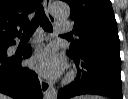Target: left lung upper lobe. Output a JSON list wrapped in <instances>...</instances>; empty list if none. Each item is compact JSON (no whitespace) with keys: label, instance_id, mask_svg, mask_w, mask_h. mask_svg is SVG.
I'll use <instances>...</instances> for the list:
<instances>
[{"label":"left lung upper lobe","instance_id":"obj_1","mask_svg":"<svg viewBox=\"0 0 128 99\" xmlns=\"http://www.w3.org/2000/svg\"><path fill=\"white\" fill-rule=\"evenodd\" d=\"M75 21L74 32L79 36L72 40L67 53L80 54L96 43L119 45L117 23L109 0H66Z\"/></svg>","mask_w":128,"mask_h":99}]
</instances>
